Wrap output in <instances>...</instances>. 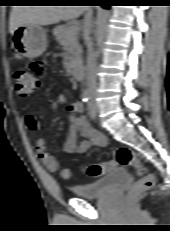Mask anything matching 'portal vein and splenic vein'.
Returning a JSON list of instances; mask_svg holds the SVG:
<instances>
[{"label": "portal vein and splenic vein", "mask_w": 170, "mask_h": 231, "mask_svg": "<svg viewBox=\"0 0 170 231\" xmlns=\"http://www.w3.org/2000/svg\"><path fill=\"white\" fill-rule=\"evenodd\" d=\"M79 32V28L77 25H71L67 30V35H75Z\"/></svg>", "instance_id": "portal-vein-and-splenic-vein-1"}]
</instances>
